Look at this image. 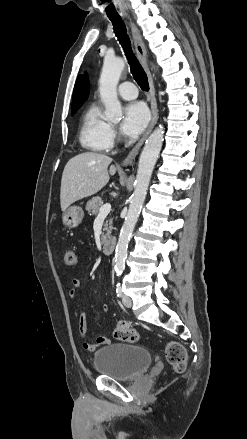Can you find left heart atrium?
Instances as JSON below:
<instances>
[{
	"label": "left heart atrium",
	"instance_id": "39dd6f15",
	"mask_svg": "<svg viewBox=\"0 0 247 439\" xmlns=\"http://www.w3.org/2000/svg\"><path fill=\"white\" fill-rule=\"evenodd\" d=\"M149 111L142 102H133L124 109L121 131L127 137H137L149 122Z\"/></svg>",
	"mask_w": 247,
	"mask_h": 439
}]
</instances>
